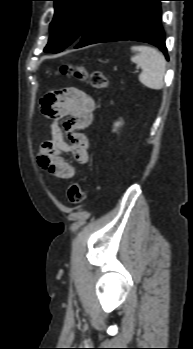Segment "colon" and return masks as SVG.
Returning a JSON list of instances; mask_svg holds the SVG:
<instances>
[{"label":"colon","mask_w":193,"mask_h":349,"mask_svg":"<svg viewBox=\"0 0 193 349\" xmlns=\"http://www.w3.org/2000/svg\"><path fill=\"white\" fill-rule=\"evenodd\" d=\"M59 72L63 75L74 76L81 81L88 82L93 88L98 90L106 89L108 86V79L106 75L100 71L88 72L85 67L81 65L63 64ZM58 92L50 93L42 100L43 108L52 110V107L57 101ZM67 196L71 203L80 204L85 199V192L79 183H72L67 190Z\"/></svg>","instance_id":"5ec220e1"}]
</instances>
